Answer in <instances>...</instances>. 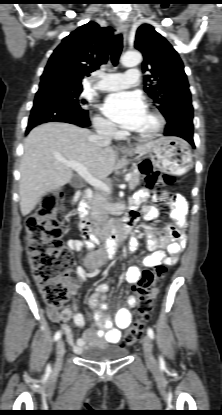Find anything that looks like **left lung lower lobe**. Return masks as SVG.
I'll use <instances>...</instances> for the list:
<instances>
[{
  "mask_svg": "<svg viewBox=\"0 0 222 415\" xmlns=\"http://www.w3.org/2000/svg\"><path fill=\"white\" fill-rule=\"evenodd\" d=\"M193 108H187L183 111L179 119L167 122L164 130L165 136H178L188 141L193 147Z\"/></svg>",
  "mask_w": 222,
  "mask_h": 415,
  "instance_id": "0a47b994",
  "label": "left lung lower lobe"
}]
</instances>
